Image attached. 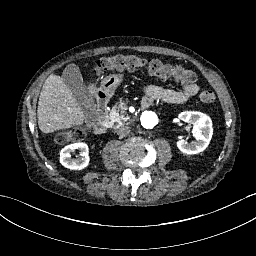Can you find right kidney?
<instances>
[{"instance_id":"1","label":"right kidney","mask_w":256,"mask_h":256,"mask_svg":"<svg viewBox=\"0 0 256 256\" xmlns=\"http://www.w3.org/2000/svg\"><path fill=\"white\" fill-rule=\"evenodd\" d=\"M79 150L78 158H71V153ZM89 151L86 143H74L65 146L60 151V163L71 170H82L89 164Z\"/></svg>"}]
</instances>
